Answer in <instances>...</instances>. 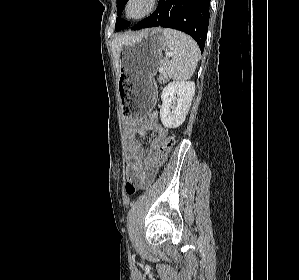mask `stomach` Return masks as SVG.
<instances>
[{"instance_id":"stomach-1","label":"stomach","mask_w":299,"mask_h":280,"mask_svg":"<svg viewBox=\"0 0 299 280\" xmlns=\"http://www.w3.org/2000/svg\"><path fill=\"white\" fill-rule=\"evenodd\" d=\"M166 45L162 29L151 28L122 46L118 89L126 117H144L150 112L157 91L153 77Z\"/></svg>"}]
</instances>
